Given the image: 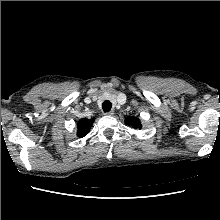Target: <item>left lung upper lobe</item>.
<instances>
[{
  "label": "left lung upper lobe",
  "instance_id": "1",
  "mask_svg": "<svg viewBox=\"0 0 220 220\" xmlns=\"http://www.w3.org/2000/svg\"><path fill=\"white\" fill-rule=\"evenodd\" d=\"M125 123L134 127L135 129L137 128H141V123H140V120L138 118H135V117H127L125 119Z\"/></svg>",
  "mask_w": 220,
  "mask_h": 220
}]
</instances>
